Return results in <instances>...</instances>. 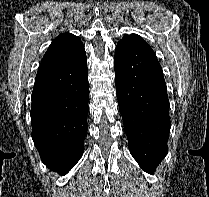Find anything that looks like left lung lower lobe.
<instances>
[{"mask_svg":"<svg viewBox=\"0 0 209 197\" xmlns=\"http://www.w3.org/2000/svg\"><path fill=\"white\" fill-rule=\"evenodd\" d=\"M116 93L129 149L152 173L168 152L169 101L160 63L151 47L120 41L114 57Z\"/></svg>","mask_w":209,"mask_h":197,"instance_id":"left-lung-lower-lobe-1","label":"left lung lower lobe"}]
</instances>
